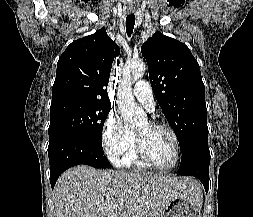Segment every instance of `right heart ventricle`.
<instances>
[{
    "label": "right heart ventricle",
    "mask_w": 253,
    "mask_h": 217,
    "mask_svg": "<svg viewBox=\"0 0 253 217\" xmlns=\"http://www.w3.org/2000/svg\"><path fill=\"white\" fill-rule=\"evenodd\" d=\"M117 164L121 167L135 168L138 170H144L148 168V166H146L138 157L135 140L132 142L126 152L119 158Z\"/></svg>",
    "instance_id": "1"
}]
</instances>
